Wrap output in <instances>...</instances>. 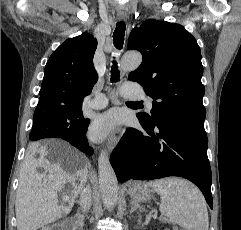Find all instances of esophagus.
<instances>
[{
  "label": "esophagus",
  "instance_id": "1",
  "mask_svg": "<svg viewBox=\"0 0 241 230\" xmlns=\"http://www.w3.org/2000/svg\"><path fill=\"white\" fill-rule=\"evenodd\" d=\"M117 18L119 21H126L127 20V14L125 13H119L117 14ZM122 133V128H118L113 135L110 137L107 148L109 151H111L116 144L118 143Z\"/></svg>",
  "mask_w": 241,
  "mask_h": 230
}]
</instances>
